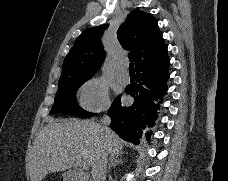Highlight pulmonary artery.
Instances as JSON below:
<instances>
[{"mask_svg":"<svg viewBox=\"0 0 228 181\" xmlns=\"http://www.w3.org/2000/svg\"><path fill=\"white\" fill-rule=\"evenodd\" d=\"M117 78L118 79H128L129 78V75L128 74H118L117 75Z\"/></svg>","mask_w":228,"mask_h":181,"instance_id":"1","label":"pulmonary artery"}]
</instances>
